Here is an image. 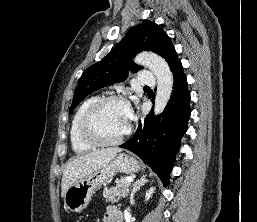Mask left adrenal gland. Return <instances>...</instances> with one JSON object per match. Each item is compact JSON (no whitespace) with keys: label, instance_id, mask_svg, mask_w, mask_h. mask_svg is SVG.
<instances>
[{"label":"left adrenal gland","instance_id":"a2214340","mask_svg":"<svg viewBox=\"0 0 257 222\" xmlns=\"http://www.w3.org/2000/svg\"><path fill=\"white\" fill-rule=\"evenodd\" d=\"M148 180L146 179V175H142L139 179H137L133 184H132V190L130 194V204H134V194L143 186Z\"/></svg>","mask_w":257,"mask_h":222}]
</instances>
